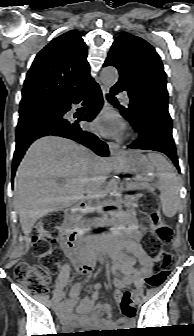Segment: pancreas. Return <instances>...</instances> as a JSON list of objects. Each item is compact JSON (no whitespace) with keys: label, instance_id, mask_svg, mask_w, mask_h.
I'll list each match as a JSON object with an SVG mask.
<instances>
[{"label":"pancreas","instance_id":"cf45deb5","mask_svg":"<svg viewBox=\"0 0 194 336\" xmlns=\"http://www.w3.org/2000/svg\"><path fill=\"white\" fill-rule=\"evenodd\" d=\"M127 190L130 192L123 194V197L125 198L124 209L127 211H135L137 209V206L135 205L137 202V195H145L146 193H149L152 190V187L145 183L136 181L128 184Z\"/></svg>","mask_w":194,"mask_h":336}]
</instances>
